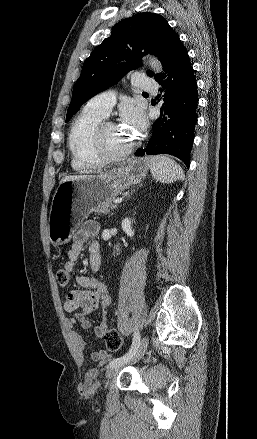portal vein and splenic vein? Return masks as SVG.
<instances>
[{"label": "portal vein and splenic vein", "mask_w": 257, "mask_h": 439, "mask_svg": "<svg viewBox=\"0 0 257 439\" xmlns=\"http://www.w3.org/2000/svg\"><path fill=\"white\" fill-rule=\"evenodd\" d=\"M122 200H123L122 198H117V199H115L113 202L117 204V203H121Z\"/></svg>", "instance_id": "1"}]
</instances>
